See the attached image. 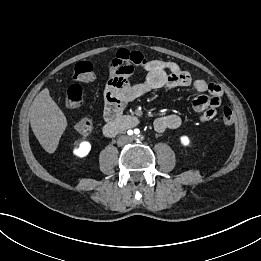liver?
Instances as JSON below:
<instances>
[{
    "mask_svg": "<svg viewBox=\"0 0 261 261\" xmlns=\"http://www.w3.org/2000/svg\"><path fill=\"white\" fill-rule=\"evenodd\" d=\"M30 124L44 150L53 153L67 127V119L50 96L48 88L35 97L30 108Z\"/></svg>",
    "mask_w": 261,
    "mask_h": 261,
    "instance_id": "6515ba94",
    "label": "liver"
}]
</instances>
